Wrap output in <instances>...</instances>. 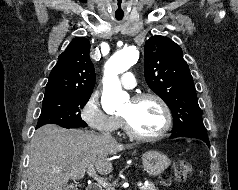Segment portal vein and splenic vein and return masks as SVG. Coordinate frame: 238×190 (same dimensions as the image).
<instances>
[{
  "label": "portal vein and splenic vein",
  "mask_w": 238,
  "mask_h": 190,
  "mask_svg": "<svg viewBox=\"0 0 238 190\" xmlns=\"http://www.w3.org/2000/svg\"><path fill=\"white\" fill-rule=\"evenodd\" d=\"M87 173L90 177L94 178L97 182H99L100 184H102L104 187H112L110 183H108L106 180L100 178L97 174L96 171L94 169H88ZM138 187H142V183L139 182L137 184Z\"/></svg>",
  "instance_id": "obj_1"
}]
</instances>
